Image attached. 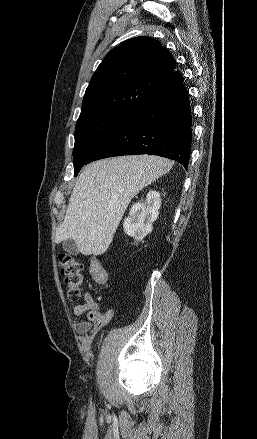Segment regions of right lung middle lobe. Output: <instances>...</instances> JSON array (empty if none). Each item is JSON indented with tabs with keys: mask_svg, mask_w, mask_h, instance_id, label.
<instances>
[{
	"mask_svg": "<svg viewBox=\"0 0 257 439\" xmlns=\"http://www.w3.org/2000/svg\"><path fill=\"white\" fill-rule=\"evenodd\" d=\"M128 115L118 113H94L80 116L75 127L74 176L99 144Z\"/></svg>",
	"mask_w": 257,
	"mask_h": 439,
	"instance_id": "right-lung-middle-lobe-1",
	"label": "right lung middle lobe"
}]
</instances>
